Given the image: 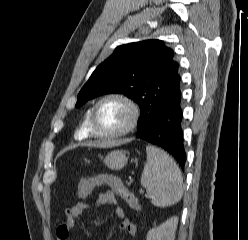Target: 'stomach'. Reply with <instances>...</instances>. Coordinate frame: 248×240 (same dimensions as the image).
<instances>
[{
  "mask_svg": "<svg viewBox=\"0 0 248 240\" xmlns=\"http://www.w3.org/2000/svg\"><path fill=\"white\" fill-rule=\"evenodd\" d=\"M85 161L88 163L90 162L87 161L86 159ZM103 162L108 168L112 170H119L126 165L127 157L124 151L114 150L107 154Z\"/></svg>",
  "mask_w": 248,
  "mask_h": 240,
  "instance_id": "obj_1",
  "label": "stomach"
}]
</instances>
